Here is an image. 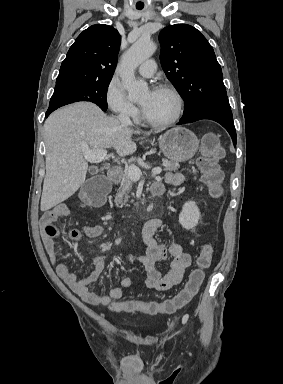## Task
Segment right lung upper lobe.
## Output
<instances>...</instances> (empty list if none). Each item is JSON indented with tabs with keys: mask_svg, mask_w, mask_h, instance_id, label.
Segmentation results:
<instances>
[{
	"mask_svg": "<svg viewBox=\"0 0 283 384\" xmlns=\"http://www.w3.org/2000/svg\"><path fill=\"white\" fill-rule=\"evenodd\" d=\"M120 40L118 31L105 24L92 25L84 30L62 62L56 86L111 80Z\"/></svg>",
	"mask_w": 283,
	"mask_h": 384,
	"instance_id": "cb5924a9",
	"label": "right lung upper lobe"
}]
</instances>
